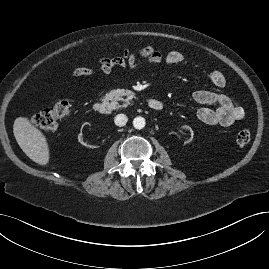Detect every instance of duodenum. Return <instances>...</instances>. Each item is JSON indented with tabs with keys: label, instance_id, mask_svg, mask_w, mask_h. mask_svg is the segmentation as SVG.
Listing matches in <instances>:
<instances>
[{
	"label": "duodenum",
	"instance_id": "duodenum-1",
	"mask_svg": "<svg viewBox=\"0 0 269 269\" xmlns=\"http://www.w3.org/2000/svg\"><path fill=\"white\" fill-rule=\"evenodd\" d=\"M147 105L150 110L154 112H160L163 109V103L157 99H149ZM94 111L98 114L108 115L112 113L113 107L110 102L106 100H100L94 104Z\"/></svg>",
	"mask_w": 269,
	"mask_h": 269
}]
</instances>
